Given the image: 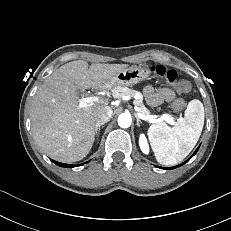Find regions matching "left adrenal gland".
Listing matches in <instances>:
<instances>
[{
	"instance_id": "obj_1",
	"label": "left adrenal gland",
	"mask_w": 231,
	"mask_h": 231,
	"mask_svg": "<svg viewBox=\"0 0 231 231\" xmlns=\"http://www.w3.org/2000/svg\"><path fill=\"white\" fill-rule=\"evenodd\" d=\"M137 118V126L140 127L141 120L136 116Z\"/></svg>"
}]
</instances>
